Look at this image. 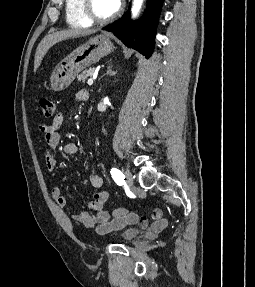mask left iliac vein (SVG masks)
Segmentation results:
<instances>
[{
	"mask_svg": "<svg viewBox=\"0 0 255 287\" xmlns=\"http://www.w3.org/2000/svg\"><path fill=\"white\" fill-rule=\"evenodd\" d=\"M125 180L129 187L133 186V175L130 170L125 171Z\"/></svg>",
	"mask_w": 255,
	"mask_h": 287,
	"instance_id": "1",
	"label": "left iliac vein"
}]
</instances>
